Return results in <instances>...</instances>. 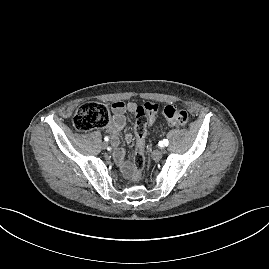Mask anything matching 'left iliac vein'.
Here are the masks:
<instances>
[{"label": "left iliac vein", "mask_w": 269, "mask_h": 269, "mask_svg": "<svg viewBox=\"0 0 269 269\" xmlns=\"http://www.w3.org/2000/svg\"><path fill=\"white\" fill-rule=\"evenodd\" d=\"M149 152V157L151 159H155L156 161H160L162 159V156H163V153L164 151L161 150V151H156V150H151V151H148Z\"/></svg>", "instance_id": "1"}]
</instances>
